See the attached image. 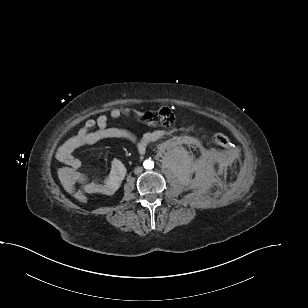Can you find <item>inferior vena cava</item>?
I'll use <instances>...</instances> for the list:
<instances>
[{"label":"inferior vena cava","instance_id":"1","mask_svg":"<svg viewBox=\"0 0 308 308\" xmlns=\"http://www.w3.org/2000/svg\"><path fill=\"white\" fill-rule=\"evenodd\" d=\"M142 170H143L142 167H136V168L134 169V173H135V174H139V173L142 172Z\"/></svg>","mask_w":308,"mask_h":308}]
</instances>
